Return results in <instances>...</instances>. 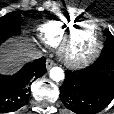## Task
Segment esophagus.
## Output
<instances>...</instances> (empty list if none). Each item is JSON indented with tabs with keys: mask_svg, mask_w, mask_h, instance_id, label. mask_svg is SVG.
I'll list each match as a JSON object with an SVG mask.
<instances>
[{
	"mask_svg": "<svg viewBox=\"0 0 114 114\" xmlns=\"http://www.w3.org/2000/svg\"><path fill=\"white\" fill-rule=\"evenodd\" d=\"M55 65V62L51 59H47L46 60V68L50 69L51 67H53Z\"/></svg>",
	"mask_w": 114,
	"mask_h": 114,
	"instance_id": "esophagus-1",
	"label": "esophagus"
}]
</instances>
